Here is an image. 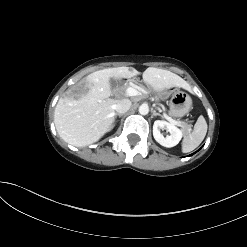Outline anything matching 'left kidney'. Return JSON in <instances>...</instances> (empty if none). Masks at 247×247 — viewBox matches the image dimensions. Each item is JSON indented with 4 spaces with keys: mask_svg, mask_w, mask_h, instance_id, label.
Here are the masks:
<instances>
[{
    "mask_svg": "<svg viewBox=\"0 0 247 247\" xmlns=\"http://www.w3.org/2000/svg\"><path fill=\"white\" fill-rule=\"evenodd\" d=\"M160 129H166L170 133V136L164 137L160 133ZM153 136L160 145L170 148L180 142L183 134L175 125L163 120H156L153 125Z\"/></svg>",
    "mask_w": 247,
    "mask_h": 247,
    "instance_id": "5707ae66",
    "label": "left kidney"
}]
</instances>
